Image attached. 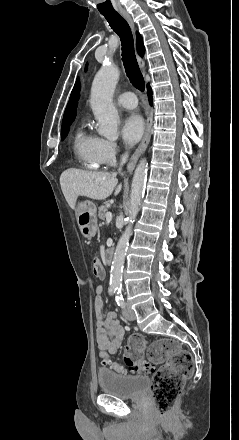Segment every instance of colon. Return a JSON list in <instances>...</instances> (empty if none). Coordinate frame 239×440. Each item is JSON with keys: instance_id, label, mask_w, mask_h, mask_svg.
Segmentation results:
<instances>
[{"instance_id": "colon-1", "label": "colon", "mask_w": 239, "mask_h": 440, "mask_svg": "<svg viewBox=\"0 0 239 440\" xmlns=\"http://www.w3.org/2000/svg\"><path fill=\"white\" fill-rule=\"evenodd\" d=\"M92 270L95 276L103 277L104 269L97 258H94ZM146 339L140 334L129 337L123 353L125 366L114 362L116 372L127 370L136 373H154L152 397L156 411L164 415L174 406L182 391L185 381L193 371V357L176 341L159 339L149 347V360L145 359ZM160 364L158 369L155 365Z\"/></svg>"}]
</instances>
